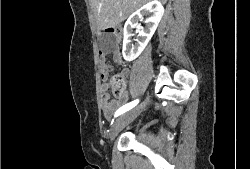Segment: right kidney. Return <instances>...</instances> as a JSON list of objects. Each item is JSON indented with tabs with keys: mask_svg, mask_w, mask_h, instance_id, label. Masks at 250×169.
<instances>
[{
	"mask_svg": "<svg viewBox=\"0 0 250 169\" xmlns=\"http://www.w3.org/2000/svg\"><path fill=\"white\" fill-rule=\"evenodd\" d=\"M143 14H151L149 18H145V22H147L146 28L138 24V20L143 18ZM163 14L164 6L161 4L160 0H151V2L143 4L141 8H138V10L130 14L123 28L124 38L122 54L125 60H134V58H137V56L141 54L151 36H153ZM133 28H137L139 36L138 40H136V44H131L130 40L131 36H134Z\"/></svg>",
	"mask_w": 250,
	"mask_h": 169,
	"instance_id": "1",
	"label": "right kidney"
}]
</instances>
